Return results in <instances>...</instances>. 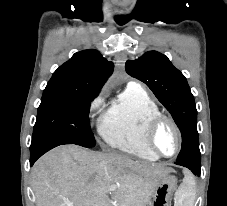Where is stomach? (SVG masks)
<instances>
[{
    "instance_id": "0dacf381",
    "label": "stomach",
    "mask_w": 227,
    "mask_h": 206,
    "mask_svg": "<svg viewBox=\"0 0 227 206\" xmlns=\"http://www.w3.org/2000/svg\"><path fill=\"white\" fill-rule=\"evenodd\" d=\"M177 179L172 175L164 177L157 185L153 193L151 206H170L169 201L172 192L176 188Z\"/></svg>"
}]
</instances>
